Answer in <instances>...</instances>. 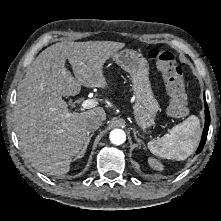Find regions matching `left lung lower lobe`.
<instances>
[{
  "instance_id": "1",
  "label": "left lung lower lobe",
  "mask_w": 221,
  "mask_h": 221,
  "mask_svg": "<svg viewBox=\"0 0 221 221\" xmlns=\"http://www.w3.org/2000/svg\"><path fill=\"white\" fill-rule=\"evenodd\" d=\"M209 124H210V114H209L208 105L205 100V126H204V130H203V134H202V139H201L199 147L196 151V154H199L203 150V146L206 142V138H207V134H208Z\"/></svg>"
}]
</instances>
